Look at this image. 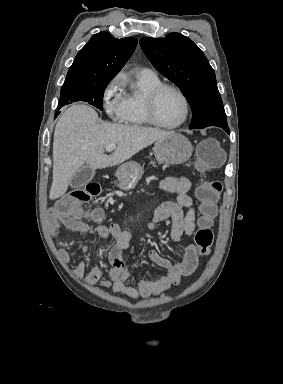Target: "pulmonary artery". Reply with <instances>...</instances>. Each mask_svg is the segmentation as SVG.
<instances>
[{"label":"pulmonary artery","mask_w":283,"mask_h":384,"mask_svg":"<svg viewBox=\"0 0 283 384\" xmlns=\"http://www.w3.org/2000/svg\"><path fill=\"white\" fill-rule=\"evenodd\" d=\"M140 73H141V74H144V75H146V76H149V77H156V76H157V75H156L153 71H151L150 69H142Z\"/></svg>","instance_id":"1"}]
</instances>
